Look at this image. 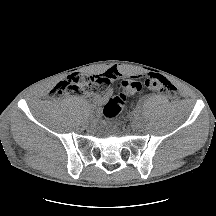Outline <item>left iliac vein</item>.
<instances>
[{
	"instance_id": "obj_1",
	"label": "left iliac vein",
	"mask_w": 216,
	"mask_h": 216,
	"mask_svg": "<svg viewBox=\"0 0 216 216\" xmlns=\"http://www.w3.org/2000/svg\"><path fill=\"white\" fill-rule=\"evenodd\" d=\"M142 126V119L139 116H136L132 121V127L134 129L140 128Z\"/></svg>"
}]
</instances>
